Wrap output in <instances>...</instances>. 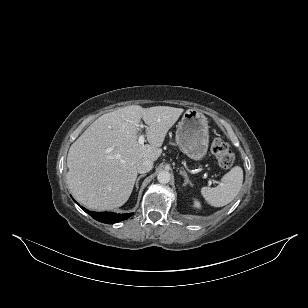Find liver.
Listing matches in <instances>:
<instances>
[{
	"mask_svg": "<svg viewBox=\"0 0 308 308\" xmlns=\"http://www.w3.org/2000/svg\"><path fill=\"white\" fill-rule=\"evenodd\" d=\"M184 109L131 105L96 119L71 145L66 181L74 198L89 209L121 207L129 199L144 158L156 161L168 130ZM147 125V141L138 143L139 123Z\"/></svg>",
	"mask_w": 308,
	"mask_h": 308,
	"instance_id": "liver-1",
	"label": "liver"
}]
</instances>
